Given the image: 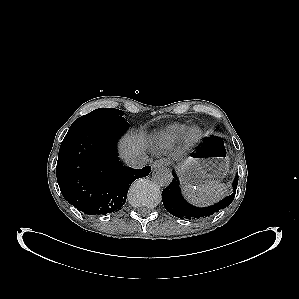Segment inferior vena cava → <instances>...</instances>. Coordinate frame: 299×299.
Returning <instances> with one entry per match:
<instances>
[{
    "instance_id": "obj_1",
    "label": "inferior vena cava",
    "mask_w": 299,
    "mask_h": 299,
    "mask_svg": "<svg viewBox=\"0 0 299 299\" xmlns=\"http://www.w3.org/2000/svg\"><path fill=\"white\" fill-rule=\"evenodd\" d=\"M149 162V158L147 155H138L133 156L126 160V164L135 169H140L144 167Z\"/></svg>"
}]
</instances>
